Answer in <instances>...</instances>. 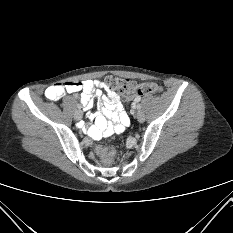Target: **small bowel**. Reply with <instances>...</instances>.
<instances>
[{
	"instance_id": "small-bowel-1",
	"label": "small bowel",
	"mask_w": 233,
	"mask_h": 233,
	"mask_svg": "<svg viewBox=\"0 0 233 233\" xmlns=\"http://www.w3.org/2000/svg\"><path fill=\"white\" fill-rule=\"evenodd\" d=\"M81 91V104L84 110L93 107L95 95L98 99V113H90L89 119L95 124L87 129L89 136L95 140L109 137L114 133L122 132L129 124V116L125 111L121 97L110 91L102 79L69 81L56 83L45 90V97L51 101L61 99L65 93Z\"/></svg>"
}]
</instances>
